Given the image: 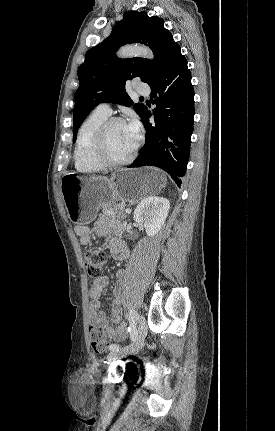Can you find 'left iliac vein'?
Returning <instances> with one entry per match:
<instances>
[{
    "mask_svg": "<svg viewBox=\"0 0 275 431\" xmlns=\"http://www.w3.org/2000/svg\"><path fill=\"white\" fill-rule=\"evenodd\" d=\"M146 334H147V326L145 322V317L141 315L138 319V330H137V336L135 341L132 344L125 346L119 350L111 351L107 356V360L109 362H113L115 360L124 358L136 352L144 342Z\"/></svg>",
    "mask_w": 275,
    "mask_h": 431,
    "instance_id": "left-iliac-vein-1",
    "label": "left iliac vein"
}]
</instances>
